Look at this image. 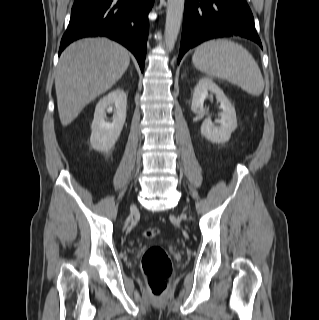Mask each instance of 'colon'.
Here are the masks:
<instances>
[{
	"label": "colon",
	"mask_w": 319,
	"mask_h": 320,
	"mask_svg": "<svg viewBox=\"0 0 319 320\" xmlns=\"http://www.w3.org/2000/svg\"><path fill=\"white\" fill-rule=\"evenodd\" d=\"M159 233L160 231L156 228H148L143 235L151 239L157 237ZM141 268L150 294L154 297L163 296L173 271L171 260L165 249L161 246L149 247L143 255Z\"/></svg>",
	"instance_id": "5ec220e1"
}]
</instances>
